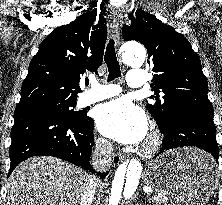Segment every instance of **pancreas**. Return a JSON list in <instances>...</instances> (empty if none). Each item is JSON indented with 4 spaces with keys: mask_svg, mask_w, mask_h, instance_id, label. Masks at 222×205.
Returning a JSON list of instances; mask_svg holds the SVG:
<instances>
[{
    "mask_svg": "<svg viewBox=\"0 0 222 205\" xmlns=\"http://www.w3.org/2000/svg\"><path fill=\"white\" fill-rule=\"evenodd\" d=\"M152 202L154 205H169L168 201L164 199L162 196H154L152 198Z\"/></svg>",
    "mask_w": 222,
    "mask_h": 205,
    "instance_id": "obj_1",
    "label": "pancreas"
}]
</instances>
